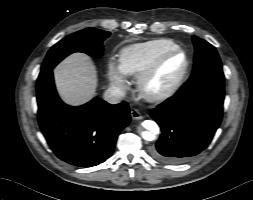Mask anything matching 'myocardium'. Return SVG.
Wrapping results in <instances>:
<instances>
[{
    "label": "myocardium",
    "mask_w": 253,
    "mask_h": 200,
    "mask_svg": "<svg viewBox=\"0 0 253 200\" xmlns=\"http://www.w3.org/2000/svg\"><path fill=\"white\" fill-rule=\"evenodd\" d=\"M180 54L184 57V65L178 76L170 85L160 91H152L149 89V83L161 64L170 56ZM190 67V60L187 53L180 47L169 49L159 54L152 63L142 71L137 79V88L142 96L148 102H161L170 98L184 82Z\"/></svg>",
    "instance_id": "f54148a6"
}]
</instances>
